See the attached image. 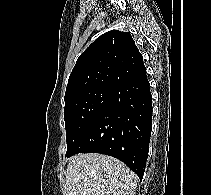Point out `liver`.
<instances>
[{
  "instance_id": "obj_1",
  "label": "liver",
  "mask_w": 211,
  "mask_h": 195,
  "mask_svg": "<svg viewBox=\"0 0 211 195\" xmlns=\"http://www.w3.org/2000/svg\"><path fill=\"white\" fill-rule=\"evenodd\" d=\"M138 177L120 160L98 153L71 157L65 195H134Z\"/></svg>"
}]
</instances>
